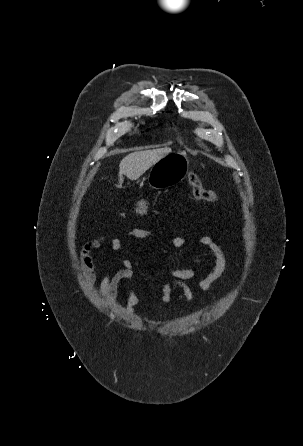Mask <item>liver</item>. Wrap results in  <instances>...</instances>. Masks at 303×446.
Wrapping results in <instances>:
<instances>
[{"label":"liver","mask_w":303,"mask_h":446,"mask_svg":"<svg viewBox=\"0 0 303 446\" xmlns=\"http://www.w3.org/2000/svg\"><path fill=\"white\" fill-rule=\"evenodd\" d=\"M171 152L170 148L135 151L128 154L122 159L119 164V184L122 186V175H125L130 180H136L145 173L152 165Z\"/></svg>","instance_id":"liver-1"}]
</instances>
